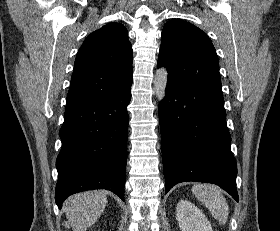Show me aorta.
I'll list each match as a JSON object with an SVG mask.
<instances>
[{
	"mask_svg": "<svg viewBox=\"0 0 280 231\" xmlns=\"http://www.w3.org/2000/svg\"><path fill=\"white\" fill-rule=\"evenodd\" d=\"M167 80L168 72L166 68H159V70H156L154 78V92L157 100H163V98H165Z\"/></svg>",
	"mask_w": 280,
	"mask_h": 231,
	"instance_id": "aorta-1",
	"label": "aorta"
}]
</instances>
